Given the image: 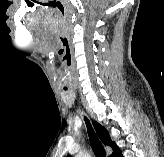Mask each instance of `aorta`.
Returning <instances> with one entry per match:
<instances>
[{
	"label": "aorta",
	"instance_id": "aorta-1",
	"mask_svg": "<svg viewBox=\"0 0 164 157\" xmlns=\"http://www.w3.org/2000/svg\"><path fill=\"white\" fill-rule=\"evenodd\" d=\"M77 157H89V154L87 152H81L77 155Z\"/></svg>",
	"mask_w": 164,
	"mask_h": 157
}]
</instances>
